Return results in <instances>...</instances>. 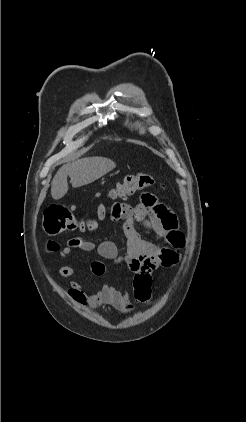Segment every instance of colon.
Masks as SVG:
<instances>
[{
    "mask_svg": "<svg viewBox=\"0 0 246 422\" xmlns=\"http://www.w3.org/2000/svg\"><path fill=\"white\" fill-rule=\"evenodd\" d=\"M157 183L154 175L149 172H139L126 175L110 191L112 199L125 198L154 186ZM98 216H104V207L98 208ZM87 223L79 221L74 214L73 206L53 204L47 208L43 217V228L48 234H58L64 230L85 228ZM180 260L179 251L164 249L157 256L143 258L134 270L133 295L137 302L145 304L151 298V273L158 267H171Z\"/></svg>",
    "mask_w": 246,
    "mask_h": 422,
    "instance_id": "obj_1",
    "label": "colon"
}]
</instances>
